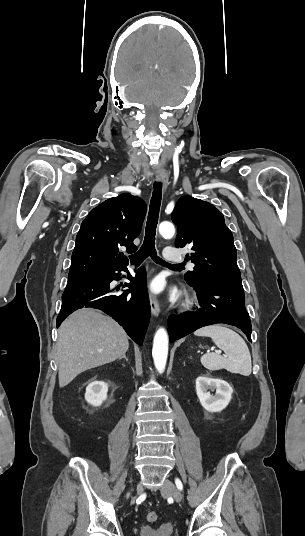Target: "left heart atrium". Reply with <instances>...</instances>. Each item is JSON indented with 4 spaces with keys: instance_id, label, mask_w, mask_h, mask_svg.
Listing matches in <instances>:
<instances>
[{
    "instance_id": "39dd6f15",
    "label": "left heart atrium",
    "mask_w": 305,
    "mask_h": 536,
    "mask_svg": "<svg viewBox=\"0 0 305 536\" xmlns=\"http://www.w3.org/2000/svg\"><path fill=\"white\" fill-rule=\"evenodd\" d=\"M151 290L153 292H159L161 290V284L158 280H155L151 284Z\"/></svg>"
}]
</instances>
